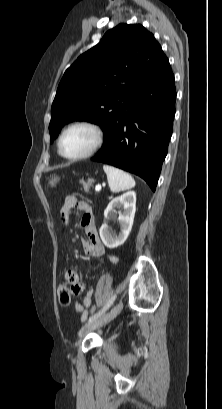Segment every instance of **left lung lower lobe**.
<instances>
[{
    "instance_id": "0a47b994",
    "label": "left lung lower lobe",
    "mask_w": 222,
    "mask_h": 409,
    "mask_svg": "<svg viewBox=\"0 0 222 409\" xmlns=\"http://www.w3.org/2000/svg\"><path fill=\"white\" fill-rule=\"evenodd\" d=\"M175 100L171 70L130 101L105 132L92 160L134 173L155 191L172 135Z\"/></svg>"
}]
</instances>
